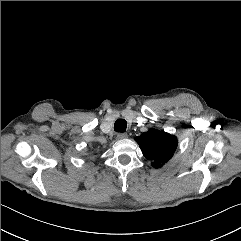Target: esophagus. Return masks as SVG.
<instances>
[{"label":"esophagus","mask_w":241,"mask_h":241,"mask_svg":"<svg viewBox=\"0 0 241 241\" xmlns=\"http://www.w3.org/2000/svg\"><path fill=\"white\" fill-rule=\"evenodd\" d=\"M127 137V134L126 133H118L117 134V139H124Z\"/></svg>","instance_id":"1"}]
</instances>
